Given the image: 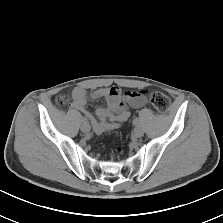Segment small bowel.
I'll return each instance as SVG.
<instances>
[{"mask_svg": "<svg viewBox=\"0 0 223 223\" xmlns=\"http://www.w3.org/2000/svg\"><path fill=\"white\" fill-rule=\"evenodd\" d=\"M72 108L80 111L85 123H90L93 130L98 133L111 131L127 121L130 116L128 106L143 108L146 105L144 92H122L117 87L99 88L88 92L83 87H77L72 92ZM105 99L106 106L96 111L99 120L85 108L88 100Z\"/></svg>", "mask_w": 223, "mask_h": 223, "instance_id": "1", "label": "small bowel"}]
</instances>
